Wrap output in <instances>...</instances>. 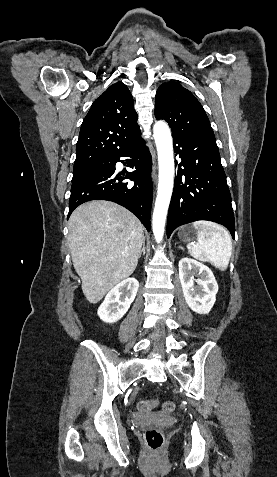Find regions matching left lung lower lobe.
<instances>
[{
	"label": "left lung lower lobe",
	"mask_w": 277,
	"mask_h": 477,
	"mask_svg": "<svg viewBox=\"0 0 277 477\" xmlns=\"http://www.w3.org/2000/svg\"><path fill=\"white\" fill-rule=\"evenodd\" d=\"M177 175L169 206L167 237L197 220L224 225L234 238L231 195L214 136L173 134Z\"/></svg>",
	"instance_id": "1"
}]
</instances>
